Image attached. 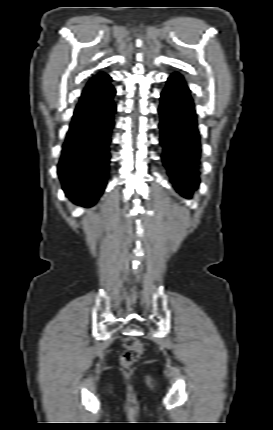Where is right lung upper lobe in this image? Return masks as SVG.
I'll list each match as a JSON object with an SVG mask.
<instances>
[{
    "label": "right lung upper lobe",
    "mask_w": 273,
    "mask_h": 430,
    "mask_svg": "<svg viewBox=\"0 0 273 430\" xmlns=\"http://www.w3.org/2000/svg\"><path fill=\"white\" fill-rule=\"evenodd\" d=\"M105 76V74L104 73H102V72H100L99 74H97L96 76H94L93 78H92V80H94V79H98V78H101V77H104Z\"/></svg>",
    "instance_id": "1"
}]
</instances>
